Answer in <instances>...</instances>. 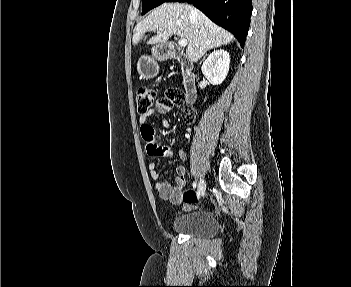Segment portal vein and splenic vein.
Instances as JSON below:
<instances>
[{
	"mask_svg": "<svg viewBox=\"0 0 351 287\" xmlns=\"http://www.w3.org/2000/svg\"><path fill=\"white\" fill-rule=\"evenodd\" d=\"M178 44H179L180 47H186L187 44H188V42H187L186 39L180 38V39L178 40Z\"/></svg>",
	"mask_w": 351,
	"mask_h": 287,
	"instance_id": "portal-vein-and-splenic-vein-1",
	"label": "portal vein and splenic vein"
}]
</instances>
